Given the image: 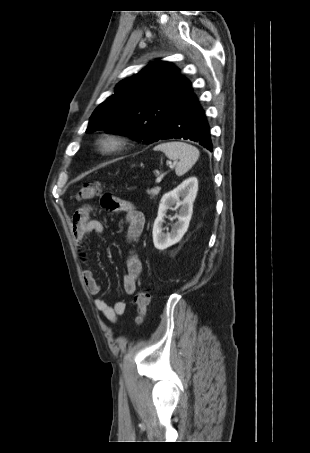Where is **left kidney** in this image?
<instances>
[{
  "mask_svg": "<svg viewBox=\"0 0 310 453\" xmlns=\"http://www.w3.org/2000/svg\"><path fill=\"white\" fill-rule=\"evenodd\" d=\"M198 191V180L190 177L179 186L166 193L161 198L158 215L153 225V243L156 249L165 250L178 243L187 232L189 222L193 214V203ZM180 197L182 200H180ZM179 209L176 215L178 221L173 225L170 232H163L164 217L168 209Z\"/></svg>",
  "mask_w": 310,
  "mask_h": 453,
  "instance_id": "5707ae66",
  "label": "left kidney"
}]
</instances>
